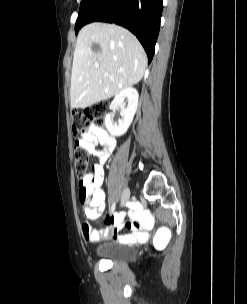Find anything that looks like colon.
<instances>
[{
    "instance_id": "colon-1",
    "label": "colon",
    "mask_w": 247,
    "mask_h": 304,
    "mask_svg": "<svg viewBox=\"0 0 247 304\" xmlns=\"http://www.w3.org/2000/svg\"><path fill=\"white\" fill-rule=\"evenodd\" d=\"M108 103L105 101L97 102L91 106L72 113V130L75 136L74 142V166L77 176L79 177V197L81 202L84 201V191L81 188L82 179L86 175L89 157L88 152L80 145V138L84 135L92 125L101 124L108 112ZM173 235L169 233V229H156L154 237L151 242L155 244L156 248H165L168 240H172Z\"/></svg>"
}]
</instances>
